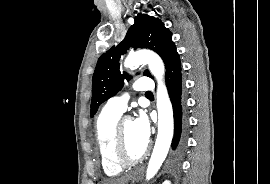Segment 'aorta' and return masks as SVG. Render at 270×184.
<instances>
[{
  "instance_id": "obj_1",
  "label": "aorta",
  "mask_w": 270,
  "mask_h": 184,
  "mask_svg": "<svg viewBox=\"0 0 270 184\" xmlns=\"http://www.w3.org/2000/svg\"><path fill=\"white\" fill-rule=\"evenodd\" d=\"M141 64H147L151 73L158 82L157 110H158V134L155 146L148 163L146 179L152 178L160 169L167 157L174 132L173 110L164 84L165 67L162 59L151 51H138L130 53L124 61L126 68H133Z\"/></svg>"
}]
</instances>
